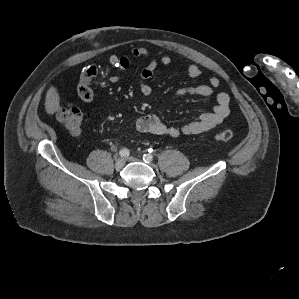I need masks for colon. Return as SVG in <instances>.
I'll return each instance as SVG.
<instances>
[{
  "instance_id": "5ec220e1",
  "label": "colon",
  "mask_w": 299,
  "mask_h": 299,
  "mask_svg": "<svg viewBox=\"0 0 299 299\" xmlns=\"http://www.w3.org/2000/svg\"><path fill=\"white\" fill-rule=\"evenodd\" d=\"M58 122L67 129L72 135L78 136L81 133L83 113L73 104L60 106L56 110ZM217 141L227 142L234 138L232 130H221L214 134Z\"/></svg>"
}]
</instances>
